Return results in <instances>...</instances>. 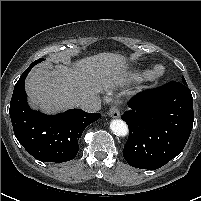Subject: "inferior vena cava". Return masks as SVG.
Listing matches in <instances>:
<instances>
[{"instance_id": "obj_1", "label": "inferior vena cava", "mask_w": 201, "mask_h": 201, "mask_svg": "<svg viewBox=\"0 0 201 201\" xmlns=\"http://www.w3.org/2000/svg\"><path fill=\"white\" fill-rule=\"evenodd\" d=\"M75 105L87 112H95L100 110L101 101L96 96H80L76 99Z\"/></svg>"}]
</instances>
